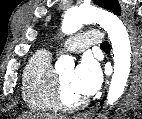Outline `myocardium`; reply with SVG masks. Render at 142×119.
Listing matches in <instances>:
<instances>
[{
	"label": "myocardium",
	"instance_id": "obj_1",
	"mask_svg": "<svg viewBox=\"0 0 142 119\" xmlns=\"http://www.w3.org/2000/svg\"><path fill=\"white\" fill-rule=\"evenodd\" d=\"M54 101L57 109L62 111H75L84 107L87 103L85 98L77 100L74 103H68L64 99L63 86L59 75L55 76L54 82Z\"/></svg>",
	"mask_w": 142,
	"mask_h": 119
}]
</instances>
